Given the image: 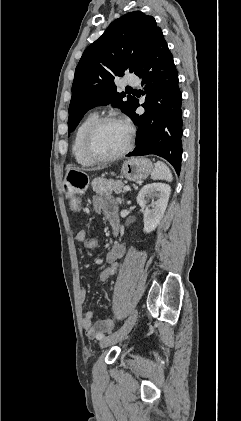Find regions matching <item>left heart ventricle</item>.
I'll list each match as a JSON object with an SVG mask.
<instances>
[{
    "label": "left heart ventricle",
    "mask_w": 241,
    "mask_h": 421,
    "mask_svg": "<svg viewBox=\"0 0 241 421\" xmlns=\"http://www.w3.org/2000/svg\"><path fill=\"white\" fill-rule=\"evenodd\" d=\"M128 129L120 122L106 123L100 127L94 138V149L102 155L120 151L126 144Z\"/></svg>",
    "instance_id": "b2bd125f"
}]
</instances>
